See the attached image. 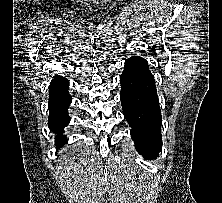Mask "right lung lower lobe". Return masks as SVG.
Wrapping results in <instances>:
<instances>
[{
    "mask_svg": "<svg viewBox=\"0 0 222 203\" xmlns=\"http://www.w3.org/2000/svg\"><path fill=\"white\" fill-rule=\"evenodd\" d=\"M68 80L55 75L49 86V119L48 125L51 131L58 134L56 137L57 145H62L66 140L62 135L64 127L69 123L70 117L67 109L71 102L68 92Z\"/></svg>",
    "mask_w": 222,
    "mask_h": 203,
    "instance_id": "1",
    "label": "right lung lower lobe"
}]
</instances>
